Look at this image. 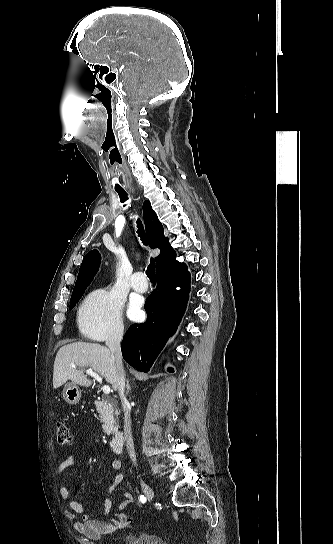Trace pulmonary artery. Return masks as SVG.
Instances as JSON below:
<instances>
[{"mask_svg": "<svg viewBox=\"0 0 333 544\" xmlns=\"http://www.w3.org/2000/svg\"><path fill=\"white\" fill-rule=\"evenodd\" d=\"M131 286L137 292H146L148 290V282L145 274L142 272H136L132 275Z\"/></svg>", "mask_w": 333, "mask_h": 544, "instance_id": "pulmonary-artery-1", "label": "pulmonary artery"}]
</instances>
